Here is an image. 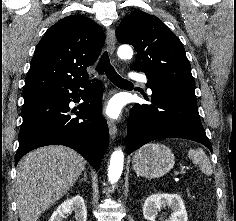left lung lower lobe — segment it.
I'll use <instances>...</instances> for the list:
<instances>
[{
    "mask_svg": "<svg viewBox=\"0 0 236 221\" xmlns=\"http://www.w3.org/2000/svg\"><path fill=\"white\" fill-rule=\"evenodd\" d=\"M151 105L136 104L128 119V154L161 138H184L205 145L212 152L201 124L193 89L173 86L148 78Z\"/></svg>",
    "mask_w": 236,
    "mask_h": 221,
    "instance_id": "0a47b994",
    "label": "left lung lower lobe"
}]
</instances>
